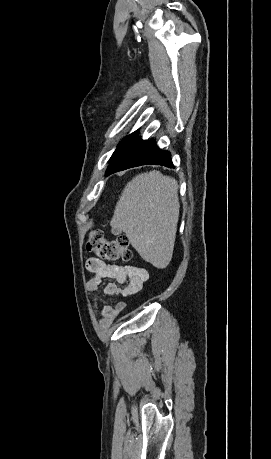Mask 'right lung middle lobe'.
<instances>
[{"mask_svg": "<svg viewBox=\"0 0 271 459\" xmlns=\"http://www.w3.org/2000/svg\"><path fill=\"white\" fill-rule=\"evenodd\" d=\"M137 132H134L127 137H125L118 145L117 149L113 153L110 162L132 141L136 138Z\"/></svg>", "mask_w": 271, "mask_h": 459, "instance_id": "right-lung-middle-lobe-1", "label": "right lung middle lobe"}]
</instances>
